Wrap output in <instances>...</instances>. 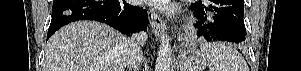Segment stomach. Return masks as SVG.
<instances>
[{"label": "stomach", "mask_w": 301, "mask_h": 71, "mask_svg": "<svg viewBox=\"0 0 301 71\" xmlns=\"http://www.w3.org/2000/svg\"><path fill=\"white\" fill-rule=\"evenodd\" d=\"M208 60L199 50L184 51L179 56L178 71H204Z\"/></svg>", "instance_id": "1"}]
</instances>
